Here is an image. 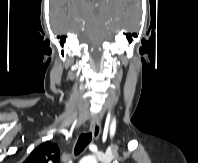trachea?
I'll return each mask as SVG.
<instances>
[{
    "instance_id": "trachea-1",
    "label": "trachea",
    "mask_w": 198,
    "mask_h": 163,
    "mask_svg": "<svg viewBox=\"0 0 198 163\" xmlns=\"http://www.w3.org/2000/svg\"><path fill=\"white\" fill-rule=\"evenodd\" d=\"M91 140H92V133H86L80 135L74 149L75 155L80 154L86 148V146L91 142Z\"/></svg>"
}]
</instances>
